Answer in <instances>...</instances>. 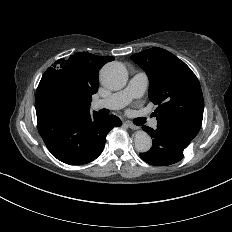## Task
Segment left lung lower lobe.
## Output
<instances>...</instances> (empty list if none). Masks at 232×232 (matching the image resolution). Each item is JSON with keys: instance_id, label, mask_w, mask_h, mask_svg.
<instances>
[{"instance_id": "1", "label": "left lung lower lobe", "mask_w": 232, "mask_h": 232, "mask_svg": "<svg viewBox=\"0 0 232 232\" xmlns=\"http://www.w3.org/2000/svg\"><path fill=\"white\" fill-rule=\"evenodd\" d=\"M142 129L153 139L151 149L146 153H140L144 161L155 166H167L183 158V151L189 145L188 142L159 127L154 130L143 126Z\"/></svg>"}]
</instances>
